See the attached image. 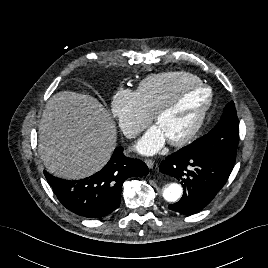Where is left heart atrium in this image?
Returning a JSON list of instances; mask_svg holds the SVG:
<instances>
[{"mask_svg":"<svg viewBox=\"0 0 268 268\" xmlns=\"http://www.w3.org/2000/svg\"><path fill=\"white\" fill-rule=\"evenodd\" d=\"M166 140L165 135L157 126L147 129L143 137L136 144L135 149L143 155H152L162 148Z\"/></svg>","mask_w":268,"mask_h":268,"instance_id":"1","label":"left heart atrium"}]
</instances>
